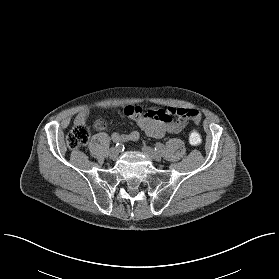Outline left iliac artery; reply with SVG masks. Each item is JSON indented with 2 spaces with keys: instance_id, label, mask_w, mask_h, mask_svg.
Segmentation results:
<instances>
[{
  "instance_id": "obj_1",
  "label": "left iliac artery",
  "mask_w": 279,
  "mask_h": 279,
  "mask_svg": "<svg viewBox=\"0 0 279 279\" xmlns=\"http://www.w3.org/2000/svg\"><path fill=\"white\" fill-rule=\"evenodd\" d=\"M165 149V147H164V145L162 144V143H157L156 144V148H155V150H157V151H163Z\"/></svg>"
}]
</instances>
